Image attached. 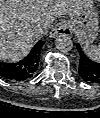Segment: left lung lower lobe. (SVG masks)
I'll use <instances>...</instances> for the list:
<instances>
[{
    "label": "left lung lower lobe",
    "mask_w": 100,
    "mask_h": 118,
    "mask_svg": "<svg viewBox=\"0 0 100 118\" xmlns=\"http://www.w3.org/2000/svg\"><path fill=\"white\" fill-rule=\"evenodd\" d=\"M77 49L80 54L78 71L82 79L88 83H100V63L86 57L79 44Z\"/></svg>",
    "instance_id": "0a47b994"
}]
</instances>
